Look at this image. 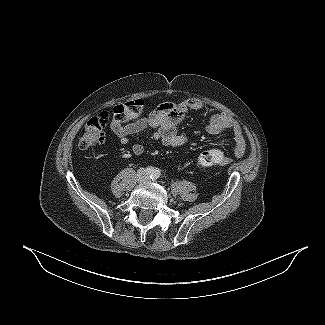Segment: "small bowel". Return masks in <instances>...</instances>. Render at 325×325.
I'll use <instances>...</instances> for the list:
<instances>
[{"label": "small bowel", "instance_id": "1", "mask_svg": "<svg viewBox=\"0 0 325 325\" xmlns=\"http://www.w3.org/2000/svg\"><path fill=\"white\" fill-rule=\"evenodd\" d=\"M203 102L198 99H188L181 102H164L154 108L149 115L132 120L126 124L117 121L111 122V130L119 139L120 143L127 145L131 137L153 128L151 139L160 141L170 147L183 146L188 142V137L178 131V124L182 121L189 110H202ZM207 131L218 134L225 130H232L234 134V154L242 157L246 151V142L242 135L241 127L232 117L224 113L212 114L208 119ZM144 146L135 143L131 147L133 155L139 156L144 153Z\"/></svg>", "mask_w": 325, "mask_h": 325}]
</instances>
